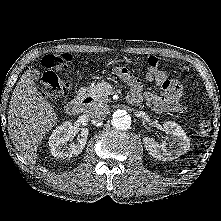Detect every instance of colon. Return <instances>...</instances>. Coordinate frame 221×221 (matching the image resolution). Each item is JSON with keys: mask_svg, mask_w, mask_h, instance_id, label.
<instances>
[{"mask_svg": "<svg viewBox=\"0 0 221 221\" xmlns=\"http://www.w3.org/2000/svg\"><path fill=\"white\" fill-rule=\"evenodd\" d=\"M72 61L69 53L47 54L42 60V66L45 72L41 78V89L45 97L51 100H61L68 92L69 83L60 79L55 71L68 69ZM147 77L162 85L167 83L166 76L159 70V60L155 56L148 58ZM212 125L210 118L203 113L198 119V129L202 134H208Z\"/></svg>", "mask_w": 221, "mask_h": 221, "instance_id": "1", "label": "colon"}]
</instances>
